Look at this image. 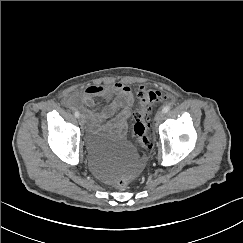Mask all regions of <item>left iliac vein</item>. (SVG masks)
Returning <instances> with one entry per match:
<instances>
[{
	"mask_svg": "<svg viewBox=\"0 0 243 243\" xmlns=\"http://www.w3.org/2000/svg\"><path fill=\"white\" fill-rule=\"evenodd\" d=\"M164 117V113L162 111H158L155 115V122L160 123Z\"/></svg>",
	"mask_w": 243,
	"mask_h": 243,
	"instance_id": "4c4485c4",
	"label": "left iliac vein"
}]
</instances>
